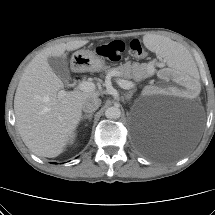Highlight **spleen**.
Segmentation results:
<instances>
[{
	"mask_svg": "<svg viewBox=\"0 0 215 215\" xmlns=\"http://www.w3.org/2000/svg\"><path fill=\"white\" fill-rule=\"evenodd\" d=\"M145 45L153 48L170 66L179 67L180 70L188 74L196 72L197 65L194 62V56L186 54V51L181 49L176 43L159 36L147 35L145 37Z\"/></svg>",
	"mask_w": 215,
	"mask_h": 215,
	"instance_id": "obj_1",
	"label": "spleen"
}]
</instances>
